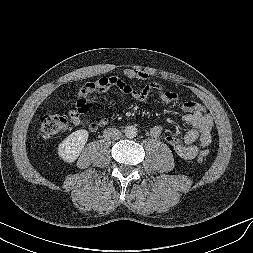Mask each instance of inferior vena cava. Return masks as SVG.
<instances>
[{"label":"inferior vena cava","instance_id":"obj_1","mask_svg":"<svg viewBox=\"0 0 253 253\" xmlns=\"http://www.w3.org/2000/svg\"><path fill=\"white\" fill-rule=\"evenodd\" d=\"M103 135L108 140H118L122 136L121 132L116 128L105 129Z\"/></svg>","mask_w":253,"mask_h":253}]
</instances>
